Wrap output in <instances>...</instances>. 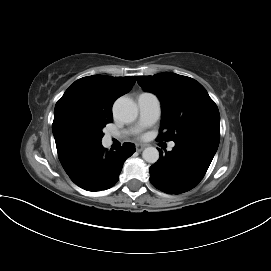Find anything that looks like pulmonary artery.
<instances>
[{
  "label": "pulmonary artery",
  "instance_id": "pulmonary-artery-1",
  "mask_svg": "<svg viewBox=\"0 0 271 271\" xmlns=\"http://www.w3.org/2000/svg\"><path fill=\"white\" fill-rule=\"evenodd\" d=\"M139 107V125L148 126L156 122L160 116V101L158 97L149 92L141 93L137 98ZM129 131H123L122 134H108V139L117 138L128 134ZM174 142L169 144V149H173Z\"/></svg>",
  "mask_w": 271,
  "mask_h": 271
}]
</instances>
